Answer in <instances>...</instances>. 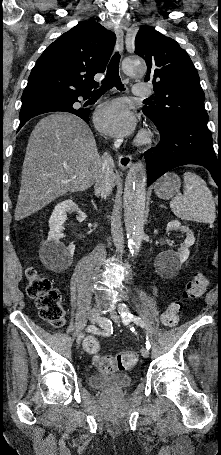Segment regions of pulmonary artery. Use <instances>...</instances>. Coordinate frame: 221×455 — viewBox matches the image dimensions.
Listing matches in <instances>:
<instances>
[{"label":"pulmonary artery","mask_w":221,"mask_h":455,"mask_svg":"<svg viewBox=\"0 0 221 455\" xmlns=\"http://www.w3.org/2000/svg\"><path fill=\"white\" fill-rule=\"evenodd\" d=\"M133 94L136 96L148 97L152 94V90L148 84H135L133 86Z\"/></svg>","instance_id":"obj_1"}]
</instances>
